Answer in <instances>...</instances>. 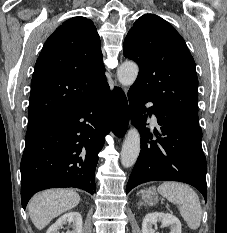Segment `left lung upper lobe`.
<instances>
[{
    "label": "left lung upper lobe",
    "instance_id": "obj_1",
    "mask_svg": "<svg viewBox=\"0 0 227 233\" xmlns=\"http://www.w3.org/2000/svg\"><path fill=\"white\" fill-rule=\"evenodd\" d=\"M124 56L139 65L133 89L199 122L195 62L173 26L154 14L141 16L125 38Z\"/></svg>",
    "mask_w": 227,
    "mask_h": 233
}]
</instances>
